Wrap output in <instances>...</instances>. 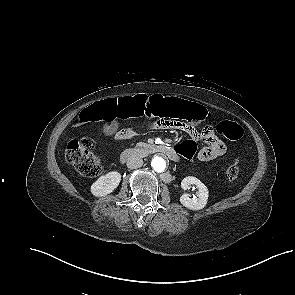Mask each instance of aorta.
I'll list each match as a JSON object with an SVG mask.
<instances>
[{"instance_id":"1","label":"aorta","mask_w":295,"mask_h":295,"mask_svg":"<svg viewBox=\"0 0 295 295\" xmlns=\"http://www.w3.org/2000/svg\"><path fill=\"white\" fill-rule=\"evenodd\" d=\"M151 166L154 171L161 173L166 169V160L161 156H155L151 161Z\"/></svg>"}]
</instances>
